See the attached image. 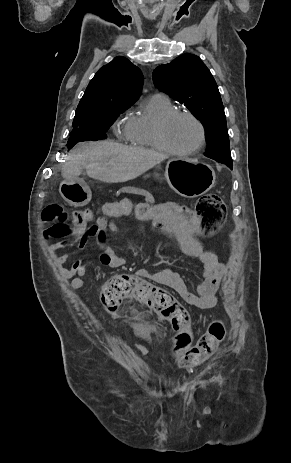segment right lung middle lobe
Segmentation results:
<instances>
[{
	"mask_svg": "<svg viewBox=\"0 0 291 463\" xmlns=\"http://www.w3.org/2000/svg\"><path fill=\"white\" fill-rule=\"evenodd\" d=\"M132 105L109 102L96 109L76 113L67 147L72 148L78 142L97 141L106 138V131L115 119Z\"/></svg>",
	"mask_w": 291,
	"mask_h": 463,
	"instance_id": "obj_1",
	"label": "right lung middle lobe"
}]
</instances>
